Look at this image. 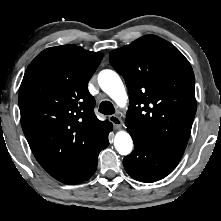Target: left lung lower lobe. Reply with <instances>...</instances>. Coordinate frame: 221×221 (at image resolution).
Wrapping results in <instances>:
<instances>
[{
  "instance_id": "1",
  "label": "left lung lower lobe",
  "mask_w": 221,
  "mask_h": 221,
  "mask_svg": "<svg viewBox=\"0 0 221 221\" xmlns=\"http://www.w3.org/2000/svg\"><path fill=\"white\" fill-rule=\"evenodd\" d=\"M134 142L133 152L124 157L127 173L140 182L151 183L170 174L179 163L184 151L153 144L135 129L127 126Z\"/></svg>"
}]
</instances>
